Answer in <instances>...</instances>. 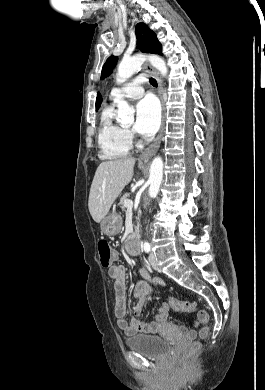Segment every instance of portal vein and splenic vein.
Returning <instances> with one entry per match:
<instances>
[{"label":"portal vein and splenic vein","instance_id":"18ae733b","mask_svg":"<svg viewBox=\"0 0 265 390\" xmlns=\"http://www.w3.org/2000/svg\"><path fill=\"white\" fill-rule=\"evenodd\" d=\"M124 206L127 208V209H132L133 208V201L131 199H126L124 201Z\"/></svg>","mask_w":265,"mask_h":390}]
</instances>
